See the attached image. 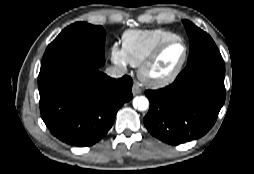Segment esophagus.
Segmentation results:
<instances>
[{
    "label": "esophagus",
    "mask_w": 254,
    "mask_h": 174,
    "mask_svg": "<svg viewBox=\"0 0 254 174\" xmlns=\"http://www.w3.org/2000/svg\"><path fill=\"white\" fill-rule=\"evenodd\" d=\"M132 93H133V95H139L142 93V89L140 88V86L138 84L133 85Z\"/></svg>",
    "instance_id": "esophagus-1"
}]
</instances>
